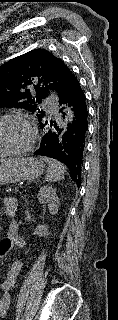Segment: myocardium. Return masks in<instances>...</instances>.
I'll use <instances>...</instances> for the list:
<instances>
[{
  "label": "myocardium",
  "mask_w": 118,
  "mask_h": 320,
  "mask_svg": "<svg viewBox=\"0 0 118 320\" xmlns=\"http://www.w3.org/2000/svg\"><path fill=\"white\" fill-rule=\"evenodd\" d=\"M6 120H19L24 122L29 130H30V140L27 143V145H25L22 148L19 149H14V150H6L3 147L0 146V155H21V154H25L29 151L32 150V148L34 147L37 138H38V130L35 126V124L33 123V121L28 118L27 116L23 115V114H19V113H9V114H5L0 116V123Z\"/></svg>",
  "instance_id": "f54148a6"
}]
</instances>
